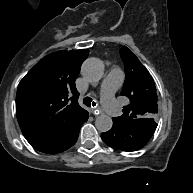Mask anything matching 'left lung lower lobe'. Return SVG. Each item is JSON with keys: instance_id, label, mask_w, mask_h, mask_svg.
I'll list each match as a JSON object with an SVG mask.
<instances>
[{"instance_id": "1", "label": "left lung lower lobe", "mask_w": 193, "mask_h": 193, "mask_svg": "<svg viewBox=\"0 0 193 193\" xmlns=\"http://www.w3.org/2000/svg\"><path fill=\"white\" fill-rule=\"evenodd\" d=\"M156 127L157 124L153 121L138 123L133 120L121 123L113 119L112 129L102 133L101 138L110 147L132 152L146 145Z\"/></svg>"}]
</instances>
